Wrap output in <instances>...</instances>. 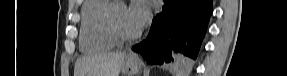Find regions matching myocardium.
<instances>
[{"instance_id": "obj_1", "label": "myocardium", "mask_w": 287, "mask_h": 76, "mask_svg": "<svg viewBox=\"0 0 287 76\" xmlns=\"http://www.w3.org/2000/svg\"><path fill=\"white\" fill-rule=\"evenodd\" d=\"M119 4L113 5L107 15V25L108 29L111 32V34L115 37L117 41H133L138 39L141 36V31L138 30L134 33L126 32L121 28L119 25L117 18H116V12L115 8Z\"/></svg>"}]
</instances>
